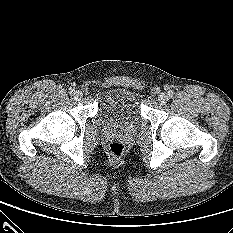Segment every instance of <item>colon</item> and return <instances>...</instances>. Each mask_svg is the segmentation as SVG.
<instances>
[{
    "label": "colon",
    "instance_id": "1",
    "mask_svg": "<svg viewBox=\"0 0 233 233\" xmlns=\"http://www.w3.org/2000/svg\"><path fill=\"white\" fill-rule=\"evenodd\" d=\"M107 150L110 158L113 161H119L124 155L125 147L120 142H111L108 144Z\"/></svg>",
    "mask_w": 233,
    "mask_h": 233
}]
</instances>
